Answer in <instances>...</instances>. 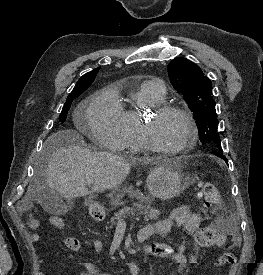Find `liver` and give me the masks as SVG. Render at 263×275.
<instances>
[{
  "mask_svg": "<svg viewBox=\"0 0 263 275\" xmlns=\"http://www.w3.org/2000/svg\"><path fill=\"white\" fill-rule=\"evenodd\" d=\"M81 139L74 130H62L47 142L52 148L45 170L47 187L67 200L112 190L122 184L131 170L126 159L107 152H92L80 145ZM89 182L93 184L91 191L86 188ZM34 193L30 187L22 203L30 202Z\"/></svg>",
  "mask_w": 263,
  "mask_h": 275,
  "instance_id": "6515ba94",
  "label": "liver"
}]
</instances>
